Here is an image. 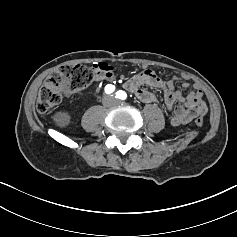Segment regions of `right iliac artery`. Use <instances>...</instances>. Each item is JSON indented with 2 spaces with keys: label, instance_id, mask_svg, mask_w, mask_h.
I'll return each mask as SVG.
<instances>
[{
  "label": "right iliac artery",
  "instance_id": "right-iliac-artery-1",
  "mask_svg": "<svg viewBox=\"0 0 237 237\" xmlns=\"http://www.w3.org/2000/svg\"><path fill=\"white\" fill-rule=\"evenodd\" d=\"M114 90H115V86L112 85V84H108V85L105 86V92L107 94H110V93L114 92Z\"/></svg>",
  "mask_w": 237,
  "mask_h": 237
}]
</instances>
